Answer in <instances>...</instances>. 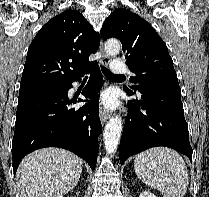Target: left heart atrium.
Wrapping results in <instances>:
<instances>
[{
    "label": "left heart atrium",
    "instance_id": "39dd6f15",
    "mask_svg": "<svg viewBox=\"0 0 209 197\" xmlns=\"http://www.w3.org/2000/svg\"><path fill=\"white\" fill-rule=\"evenodd\" d=\"M101 104L103 105V107L108 109L115 107L117 105L116 95L111 91L103 93L101 96Z\"/></svg>",
    "mask_w": 209,
    "mask_h": 197
}]
</instances>
